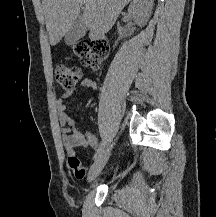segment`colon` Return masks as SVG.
I'll list each match as a JSON object with an SVG mask.
<instances>
[{"mask_svg": "<svg viewBox=\"0 0 216 217\" xmlns=\"http://www.w3.org/2000/svg\"><path fill=\"white\" fill-rule=\"evenodd\" d=\"M109 45L102 40L81 41L73 46L74 55L86 67L97 68L102 58L108 53ZM55 78L65 90H72L79 81L81 71L78 67L59 65L54 70ZM69 165L76 176L82 174L77 157H69Z\"/></svg>", "mask_w": 216, "mask_h": 217, "instance_id": "obj_1", "label": "colon"}]
</instances>
